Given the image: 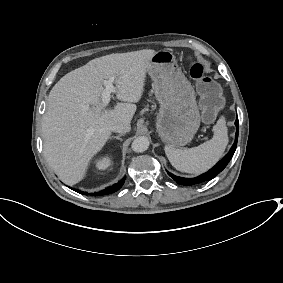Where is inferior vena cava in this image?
Instances as JSON below:
<instances>
[{"label":"inferior vena cava","instance_id":"1","mask_svg":"<svg viewBox=\"0 0 283 283\" xmlns=\"http://www.w3.org/2000/svg\"><path fill=\"white\" fill-rule=\"evenodd\" d=\"M130 129H131V126L129 123L117 124L111 128L113 132H117V133H126V132H129Z\"/></svg>","mask_w":283,"mask_h":283}]
</instances>
